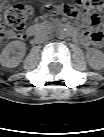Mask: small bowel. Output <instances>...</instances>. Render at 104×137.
<instances>
[{"label": "small bowel", "mask_w": 104, "mask_h": 137, "mask_svg": "<svg viewBox=\"0 0 104 137\" xmlns=\"http://www.w3.org/2000/svg\"><path fill=\"white\" fill-rule=\"evenodd\" d=\"M80 41L83 45L85 46H90V45H93L94 44V41L93 39L90 37L89 34L87 33H84L81 38H80Z\"/></svg>", "instance_id": "c3829d8e"}]
</instances>
